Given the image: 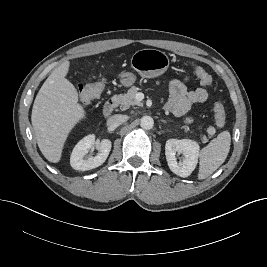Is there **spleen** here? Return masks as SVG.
I'll use <instances>...</instances> for the list:
<instances>
[{
  "mask_svg": "<svg viewBox=\"0 0 267 267\" xmlns=\"http://www.w3.org/2000/svg\"><path fill=\"white\" fill-rule=\"evenodd\" d=\"M230 145V133L223 131L201 150L198 179L207 178L224 163L229 153Z\"/></svg>",
  "mask_w": 267,
  "mask_h": 267,
  "instance_id": "spleen-1",
  "label": "spleen"
}]
</instances>
